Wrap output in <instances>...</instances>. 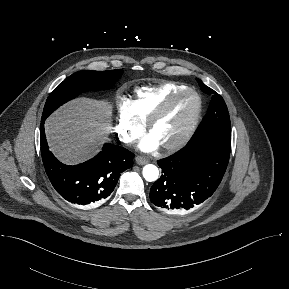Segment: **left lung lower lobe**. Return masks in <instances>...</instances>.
Segmentation results:
<instances>
[{"label":"left lung lower lobe","instance_id":"left-lung-lower-lobe-1","mask_svg":"<svg viewBox=\"0 0 289 289\" xmlns=\"http://www.w3.org/2000/svg\"><path fill=\"white\" fill-rule=\"evenodd\" d=\"M231 138L205 137L159 160L161 177L150 189V200L169 213H185L208 199L226 171Z\"/></svg>","mask_w":289,"mask_h":289}]
</instances>
